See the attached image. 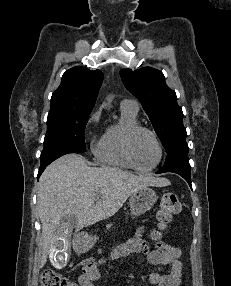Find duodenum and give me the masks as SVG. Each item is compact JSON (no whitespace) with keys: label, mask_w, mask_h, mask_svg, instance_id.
<instances>
[{"label":"duodenum","mask_w":231,"mask_h":286,"mask_svg":"<svg viewBox=\"0 0 231 286\" xmlns=\"http://www.w3.org/2000/svg\"><path fill=\"white\" fill-rule=\"evenodd\" d=\"M86 242H87L86 239L85 240H81V241H79L78 245L79 246H83Z\"/></svg>","instance_id":"410a0bca"}]
</instances>
